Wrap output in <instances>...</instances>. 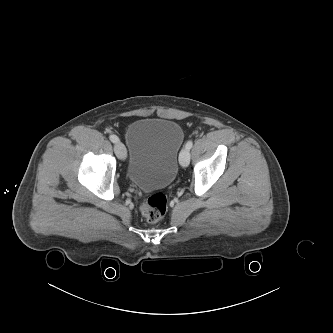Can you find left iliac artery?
Wrapping results in <instances>:
<instances>
[{
    "label": "left iliac artery",
    "instance_id": "1",
    "mask_svg": "<svg viewBox=\"0 0 333 333\" xmlns=\"http://www.w3.org/2000/svg\"><path fill=\"white\" fill-rule=\"evenodd\" d=\"M192 146H193V141L190 140L186 143L185 148L190 150L192 148Z\"/></svg>",
    "mask_w": 333,
    "mask_h": 333
}]
</instances>
